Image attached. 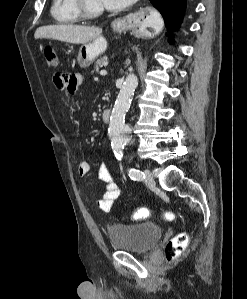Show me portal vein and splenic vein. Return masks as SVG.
Returning a JSON list of instances; mask_svg holds the SVG:
<instances>
[{
	"instance_id": "obj_1",
	"label": "portal vein and splenic vein",
	"mask_w": 247,
	"mask_h": 299,
	"mask_svg": "<svg viewBox=\"0 0 247 299\" xmlns=\"http://www.w3.org/2000/svg\"><path fill=\"white\" fill-rule=\"evenodd\" d=\"M107 74V71L106 70H101L100 71V75H106Z\"/></svg>"
}]
</instances>
